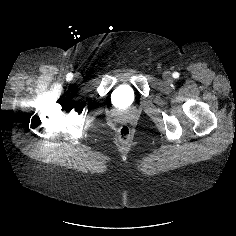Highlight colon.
<instances>
[{"label": "colon", "instance_id": "5ec220e1", "mask_svg": "<svg viewBox=\"0 0 236 236\" xmlns=\"http://www.w3.org/2000/svg\"><path fill=\"white\" fill-rule=\"evenodd\" d=\"M131 129L128 125L123 124L118 128V139L122 143H128L131 139Z\"/></svg>", "mask_w": 236, "mask_h": 236}]
</instances>
